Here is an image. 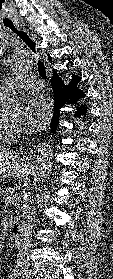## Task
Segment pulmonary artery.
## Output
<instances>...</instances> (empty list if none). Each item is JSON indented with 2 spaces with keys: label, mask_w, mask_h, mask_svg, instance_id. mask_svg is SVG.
<instances>
[{
  "label": "pulmonary artery",
  "mask_w": 113,
  "mask_h": 279,
  "mask_svg": "<svg viewBox=\"0 0 113 279\" xmlns=\"http://www.w3.org/2000/svg\"><path fill=\"white\" fill-rule=\"evenodd\" d=\"M30 89L40 91L43 89V84L40 80L33 77H15L8 78L0 85V90L6 94H11L16 90Z\"/></svg>",
  "instance_id": "1"
}]
</instances>
